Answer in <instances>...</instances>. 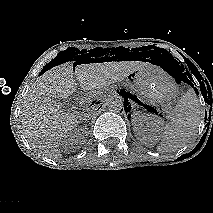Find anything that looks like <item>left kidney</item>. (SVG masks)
<instances>
[{
    "label": "left kidney",
    "instance_id": "left-kidney-1",
    "mask_svg": "<svg viewBox=\"0 0 213 213\" xmlns=\"http://www.w3.org/2000/svg\"><path fill=\"white\" fill-rule=\"evenodd\" d=\"M132 125L135 134L142 141H151L162 129V122L158 117L142 112L133 114Z\"/></svg>",
    "mask_w": 213,
    "mask_h": 213
}]
</instances>
